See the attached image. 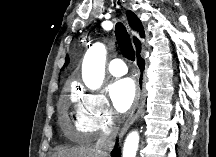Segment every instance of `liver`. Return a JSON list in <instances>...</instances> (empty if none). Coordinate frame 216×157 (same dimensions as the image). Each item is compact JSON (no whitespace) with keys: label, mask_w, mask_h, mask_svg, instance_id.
<instances>
[{"label":"liver","mask_w":216,"mask_h":157,"mask_svg":"<svg viewBox=\"0 0 216 157\" xmlns=\"http://www.w3.org/2000/svg\"><path fill=\"white\" fill-rule=\"evenodd\" d=\"M53 157H99L95 147L80 146L72 149H64L54 154Z\"/></svg>","instance_id":"6515ba94"}]
</instances>
